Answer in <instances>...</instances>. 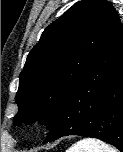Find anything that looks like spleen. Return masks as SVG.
<instances>
[{
	"instance_id": "obj_1",
	"label": "spleen",
	"mask_w": 123,
	"mask_h": 152,
	"mask_svg": "<svg viewBox=\"0 0 123 152\" xmlns=\"http://www.w3.org/2000/svg\"><path fill=\"white\" fill-rule=\"evenodd\" d=\"M66 152H117L103 141L84 138L73 144Z\"/></svg>"
}]
</instances>
